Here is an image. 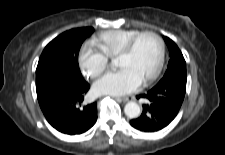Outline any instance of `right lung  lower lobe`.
I'll list each match as a JSON object with an SVG mask.
<instances>
[{
  "label": "right lung lower lobe",
  "instance_id": "obj_1",
  "mask_svg": "<svg viewBox=\"0 0 225 155\" xmlns=\"http://www.w3.org/2000/svg\"><path fill=\"white\" fill-rule=\"evenodd\" d=\"M89 87L83 79L65 78L37 95L47 121L58 131L69 135L89 130L97 120L95 102L82 107Z\"/></svg>",
  "mask_w": 225,
  "mask_h": 155
}]
</instances>
